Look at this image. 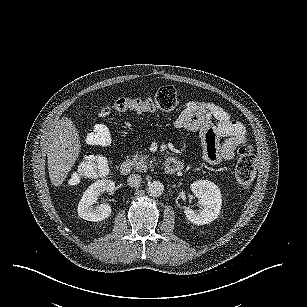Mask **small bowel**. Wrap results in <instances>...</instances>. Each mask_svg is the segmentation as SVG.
Returning a JSON list of instances; mask_svg holds the SVG:
<instances>
[{"instance_id": "obj_1", "label": "small bowel", "mask_w": 307, "mask_h": 307, "mask_svg": "<svg viewBox=\"0 0 307 307\" xmlns=\"http://www.w3.org/2000/svg\"><path fill=\"white\" fill-rule=\"evenodd\" d=\"M175 125L198 133L203 157L210 164L232 160L237 146L247 139L244 125L212 102L186 103ZM222 137L226 139L221 142Z\"/></svg>"}]
</instances>
